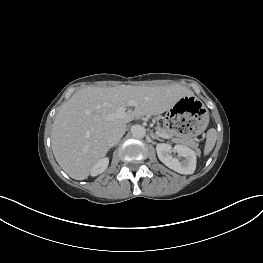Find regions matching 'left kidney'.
I'll return each mask as SVG.
<instances>
[{
	"mask_svg": "<svg viewBox=\"0 0 263 263\" xmlns=\"http://www.w3.org/2000/svg\"><path fill=\"white\" fill-rule=\"evenodd\" d=\"M156 151L159 160L168 168L180 174H193L196 169V153L191 148L177 144L172 147L167 143H159L156 146ZM177 153L184 160L180 161L171 153Z\"/></svg>",
	"mask_w": 263,
	"mask_h": 263,
	"instance_id": "1",
	"label": "left kidney"
}]
</instances>
